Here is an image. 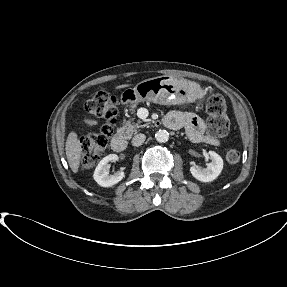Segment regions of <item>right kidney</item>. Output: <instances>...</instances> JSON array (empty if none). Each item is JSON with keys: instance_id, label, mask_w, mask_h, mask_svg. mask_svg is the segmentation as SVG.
Masks as SVG:
<instances>
[{"instance_id": "right-kidney-1", "label": "right kidney", "mask_w": 287, "mask_h": 287, "mask_svg": "<svg viewBox=\"0 0 287 287\" xmlns=\"http://www.w3.org/2000/svg\"><path fill=\"white\" fill-rule=\"evenodd\" d=\"M118 160V156L116 154H110L104 157L99 164L97 165L94 171V180L102 187H111L118 182H120L124 178L123 171H117L112 175H109L107 170V164L109 162H116Z\"/></svg>"}]
</instances>
